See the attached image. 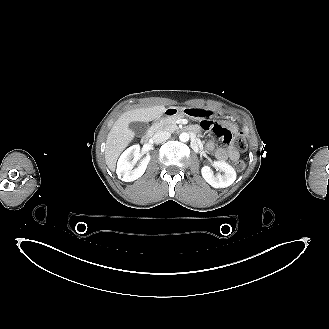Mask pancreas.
Wrapping results in <instances>:
<instances>
[{
  "mask_svg": "<svg viewBox=\"0 0 329 329\" xmlns=\"http://www.w3.org/2000/svg\"><path fill=\"white\" fill-rule=\"evenodd\" d=\"M181 118H182L181 115L162 118V119L156 121L154 126L158 130H166V131H169V132H174V131L178 130V126L176 125V122H177V120H179Z\"/></svg>",
  "mask_w": 329,
  "mask_h": 329,
  "instance_id": "pancreas-1",
  "label": "pancreas"
}]
</instances>
